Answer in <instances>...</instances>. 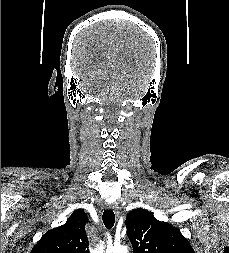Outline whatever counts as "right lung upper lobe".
<instances>
[{"instance_id": "cb5924a9", "label": "right lung upper lobe", "mask_w": 229, "mask_h": 253, "mask_svg": "<svg viewBox=\"0 0 229 253\" xmlns=\"http://www.w3.org/2000/svg\"><path fill=\"white\" fill-rule=\"evenodd\" d=\"M86 223L84 210L74 211L64 225L46 232L31 253H89Z\"/></svg>"}]
</instances>
